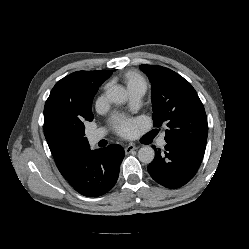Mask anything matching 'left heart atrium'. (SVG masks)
<instances>
[{"instance_id": "1", "label": "left heart atrium", "mask_w": 249, "mask_h": 249, "mask_svg": "<svg viewBox=\"0 0 249 249\" xmlns=\"http://www.w3.org/2000/svg\"><path fill=\"white\" fill-rule=\"evenodd\" d=\"M114 122L117 125L118 132L123 135L130 137L137 131V122L133 120H124L117 117L114 118Z\"/></svg>"}]
</instances>
